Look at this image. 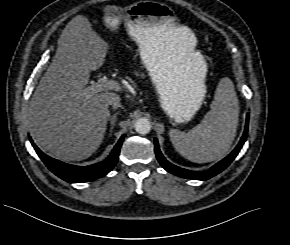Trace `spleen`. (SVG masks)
<instances>
[{
	"instance_id": "1",
	"label": "spleen",
	"mask_w": 290,
	"mask_h": 245,
	"mask_svg": "<svg viewBox=\"0 0 290 245\" xmlns=\"http://www.w3.org/2000/svg\"><path fill=\"white\" fill-rule=\"evenodd\" d=\"M237 118L238 101L233 84L229 78H223L202 121L186 133L172 130L171 141L178 153L190 161H213L228 151L235 137Z\"/></svg>"
}]
</instances>
